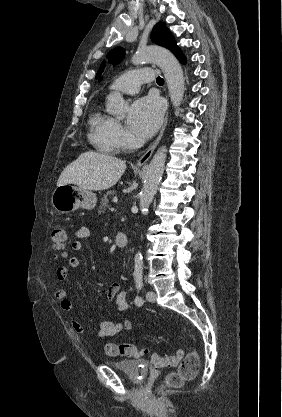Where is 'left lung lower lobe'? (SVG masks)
Returning <instances> with one entry per match:
<instances>
[{
  "label": "left lung lower lobe",
  "instance_id": "left-lung-lower-lobe-1",
  "mask_svg": "<svg viewBox=\"0 0 282 417\" xmlns=\"http://www.w3.org/2000/svg\"><path fill=\"white\" fill-rule=\"evenodd\" d=\"M175 56L181 61V62H185L186 58L185 56L182 54L181 50L179 49V47H177L175 50L172 51Z\"/></svg>",
  "mask_w": 282,
  "mask_h": 417
}]
</instances>
